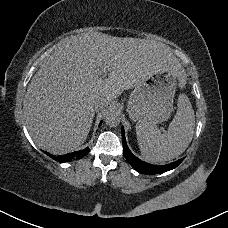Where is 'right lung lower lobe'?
<instances>
[{
	"label": "right lung lower lobe",
	"mask_w": 228,
	"mask_h": 228,
	"mask_svg": "<svg viewBox=\"0 0 228 228\" xmlns=\"http://www.w3.org/2000/svg\"><path fill=\"white\" fill-rule=\"evenodd\" d=\"M88 152H89V149L87 147L83 150H79V151H76L73 153H68V154L61 155V156H52L48 152H45V153L58 162H69L73 159H80V158L86 156L88 154Z\"/></svg>",
	"instance_id": "right-lung-lower-lobe-1"
}]
</instances>
